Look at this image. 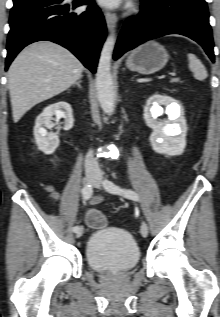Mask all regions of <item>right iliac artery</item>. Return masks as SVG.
<instances>
[{
	"label": "right iliac artery",
	"mask_w": 220,
	"mask_h": 317,
	"mask_svg": "<svg viewBox=\"0 0 220 317\" xmlns=\"http://www.w3.org/2000/svg\"><path fill=\"white\" fill-rule=\"evenodd\" d=\"M93 193V189H92V185L91 184H86L83 189H82V196L84 200H88L90 199V197L92 196ZM80 229L79 226H75L73 227V231L77 232Z\"/></svg>",
	"instance_id": "obj_1"
}]
</instances>
